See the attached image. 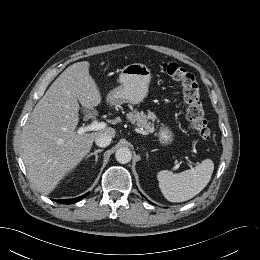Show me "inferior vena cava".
Returning a JSON list of instances; mask_svg holds the SVG:
<instances>
[{"mask_svg": "<svg viewBox=\"0 0 260 260\" xmlns=\"http://www.w3.org/2000/svg\"><path fill=\"white\" fill-rule=\"evenodd\" d=\"M112 136L107 133H101L95 138V143L99 147H106L111 143Z\"/></svg>", "mask_w": 260, "mask_h": 260, "instance_id": "602c4592", "label": "inferior vena cava"}]
</instances>
